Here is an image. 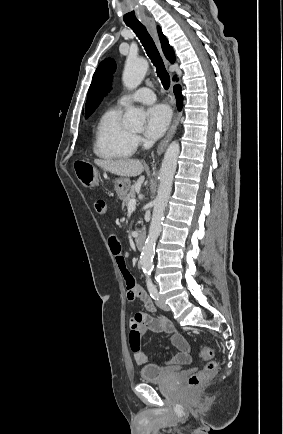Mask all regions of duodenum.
Instances as JSON below:
<instances>
[{"label": "duodenum", "instance_id": "1", "mask_svg": "<svg viewBox=\"0 0 283 434\" xmlns=\"http://www.w3.org/2000/svg\"><path fill=\"white\" fill-rule=\"evenodd\" d=\"M145 239H146V236L143 232H141L137 235L135 242H136V246L139 250H142L144 248Z\"/></svg>", "mask_w": 283, "mask_h": 434}]
</instances>
